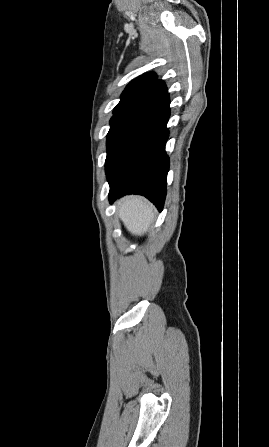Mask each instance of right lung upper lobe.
<instances>
[{"instance_id":"cb5924a9","label":"right lung upper lobe","mask_w":269,"mask_h":447,"mask_svg":"<svg viewBox=\"0 0 269 447\" xmlns=\"http://www.w3.org/2000/svg\"><path fill=\"white\" fill-rule=\"evenodd\" d=\"M165 92V83L158 80L155 73L144 74L128 84L113 113L131 114L146 107Z\"/></svg>"}]
</instances>
